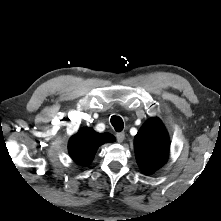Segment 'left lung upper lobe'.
Listing matches in <instances>:
<instances>
[{
    "label": "left lung upper lobe",
    "mask_w": 221,
    "mask_h": 221,
    "mask_svg": "<svg viewBox=\"0 0 221 221\" xmlns=\"http://www.w3.org/2000/svg\"><path fill=\"white\" fill-rule=\"evenodd\" d=\"M136 159L144 174L160 168L169 155V136L159 118L144 123L134 139Z\"/></svg>",
    "instance_id": "obj_1"
}]
</instances>
